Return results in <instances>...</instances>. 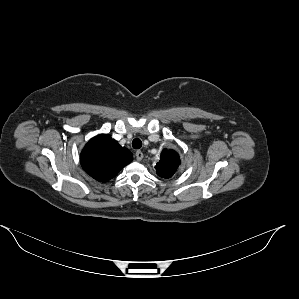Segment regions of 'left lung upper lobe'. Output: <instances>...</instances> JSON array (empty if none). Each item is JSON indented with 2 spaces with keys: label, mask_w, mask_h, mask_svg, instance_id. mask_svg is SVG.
Here are the masks:
<instances>
[{
  "label": "left lung upper lobe",
  "mask_w": 299,
  "mask_h": 299,
  "mask_svg": "<svg viewBox=\"0 0 299 299\" xmlns=\"http://www.w3.org/2000/svg\"><path fill=\"white\" fill-rule=\"evenodd\" d=\"M180 165V157L173 150L163 149L161 159L156 164L155 169L157 174L162 178H170L176 172Z\"/></svg>",
  "instance_id": "5c2ea615"
}]
</instances>
